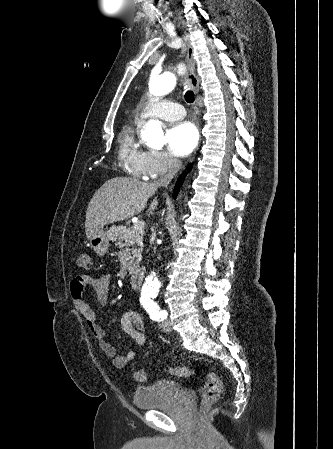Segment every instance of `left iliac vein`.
<instances>
[{
  "label": "left iliac vein",
  "mask_w": 333,
  "mask_h": 449,
  "mask_svg": "<svg viewBox=\"0 0 333 449\" xmlns=\"http://www.w3.org/2000/svg\"><path fill=\"white\" fill-rule=\"evenodd\" d=\"M160 329L165 332V333H169L171 331V325L169 321H163L160 324Z\"/></svg>",
  "instance_id": "4c4485c4"
}]
</instances>
